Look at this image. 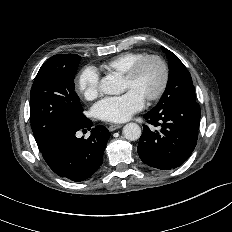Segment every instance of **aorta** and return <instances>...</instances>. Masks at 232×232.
Returning <instances> with one entry per match:
<instances>
[{
	"instance_id": "762f6f07",
	"label": "aorta",
	"mask_w": 232,
	"mask_h": 232,
	"mask_svg": "<svg viewBox=\"0 0 232 232\" xmlns=\"http://www.w3.org/2000/svg\"><path fill=\"white\" fill-rule=\"evenodd\" d=\"M100 89L108 95H117L124 91V84L121 77L109 74L100 81ZM123 135L127 140L135 141L141 136V128L136 123H128L123 127Z\"/></svg>"
}]
</instances>
